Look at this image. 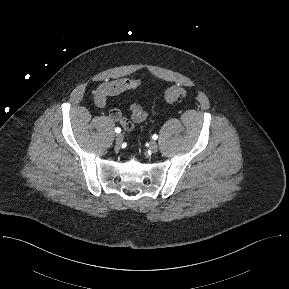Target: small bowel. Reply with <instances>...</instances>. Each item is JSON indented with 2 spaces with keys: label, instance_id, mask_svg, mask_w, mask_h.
<instances>
[{
  "label": "small bowel",
  "instance_id": "obj_1",
  "mask_svg": "<svg viewBox=\"0 0 289 289\" xmlns=\"http://www.w3.org/2000/svg\"><path fill=\"white\" fill-rule=\"evenodd\" d=\"M142 85L140 78H121L102 83L94 92V102L99 108H104L109 97L120 95L126 91L137 89ZM131 118L124 117L119 109L112 108L109 110V117L118 122L126 131H131L136 124L142 123L148 117L145 108L137 103H132L129 107Z\"/></svg>",
  "mask_w": 289,
  "mask_h": 289
}]
</instances>
